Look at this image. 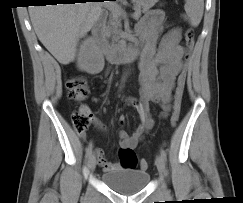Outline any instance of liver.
<instances>
[{
  "label": "liver",
  "instance_id": "liver-1",
  "mask_svg": "<svg viewBox=\"0 0 243 203\" xmlns=\"http://www.w3.org/2000/svg\"><path fill=\"white\" fill-rule=\"evenodd\" d=\"M102 12L101 2L31 6L29 15L38 39L67 65L76 54L80 37L91 30Z\"/></svg>",
  "mask_w": 243,
  "mask_h": 203
}]
</instances>
